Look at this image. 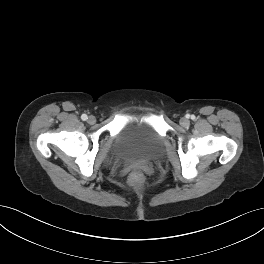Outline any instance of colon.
Wrapping results in <instances>:
<instances>
[{"label":"colon","instance_id":"5ec220e1","mask_svg":"<svg viewBox=\"0 0 264 264\" xmlns=\"http://www.w3.org/2000/svg\"><path fill=\"white\" fill-rule=\"evenodd\" d=\"M130 181L133 184H138V185L145 183V179L140 171H133L130 175Z\"/></svg>","mask_w":264,"mask_h":264}]
</instances>
